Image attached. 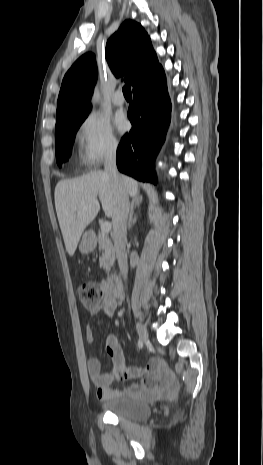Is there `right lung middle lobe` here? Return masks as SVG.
<instances>
[{
    "label": "right lung middle lobe",
    "mask_w": 263,
    "mask_h": 465,
    "mask_svg": "<svg viewBox=\"0 0 263 465\" xmlns=\"http://www.w3.org/2000/svg\"><path fill=\"white\" fill-rule=\"evenodd\" d=\"M89 112L90 109L76 111L56 123L55 152L56 161L60 167L62 162L69 159L76 132L88 116Z\"/></svg>",
    "instance_id": "dd1d6c3e"
}]
</instances>
